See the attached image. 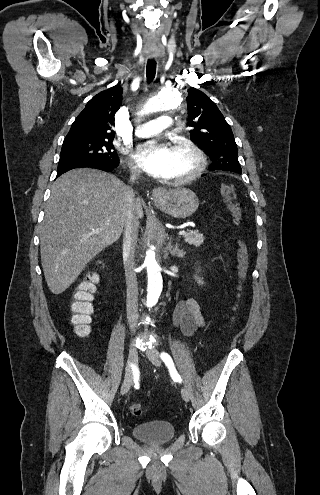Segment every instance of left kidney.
Wrapping results in <instances>:
<instances>
[{
	"label": "left kidney",
	"instance_id": "5707ae66",
	"mask_svg": "<svg viewBox=\"0 0 320 495\" xmlns=\"http://www.w3.org/2000/svg\"><path fill=\"white\" fill-rule=\"evenodd\" d=\"M196 279L198 280L199 284H202V281L199 278L196 277Z\"/></svg>",
	"mask_w": 320,
	"mask_h": 495
}]
</instances>
